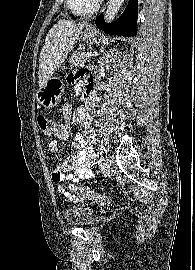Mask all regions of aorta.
Returning <instances> with one entry per match:
<instances>
[{"mask_svg":"<svg viewBox=\"0 0 195 270\" xmlns=\"http://www.w3.org/2000/svg\"><path fill=\"white\" fill-rule=\"evenodd\" d=\"M123 3L124 0H109L106 12L104 14L105 22L110 23L115 19Z\"/></svg>","mask_w":195,"mask_h":270,"instance_id":"762f6f07","label":"aorta"}]
</instances>
